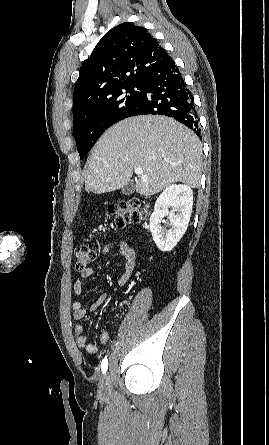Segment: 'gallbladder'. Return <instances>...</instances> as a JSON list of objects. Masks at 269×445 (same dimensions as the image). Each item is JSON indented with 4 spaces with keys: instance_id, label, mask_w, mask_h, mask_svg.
I'll return each instance as SVG.
<instances>
[{
    "instance_id": "gallbladder-1",
    "label": "gallbladder",
    "mask_w": 269,
    "mask_h": 445,
    "mask_svg": "<svg viewBox=\"0 0 269 445\" xmlns=\"http://www.w3.org/2000/svg\"><path fill=\"white\" fill-rule=\"evenodd\" d=\"M121 192L124 195L132 194L134 192V183L133 182L128 183L124 188H122Z\"/></svg>"
}]
</instances>
